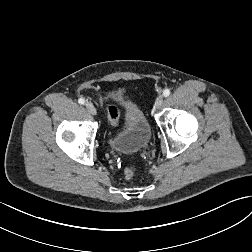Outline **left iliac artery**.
<instances>
[{
  "mask_svg": "<svg viewBox=\"0 0 252 252\" xmlns=\"http://www.w3.org/2000/svg\"><path fill=\"white\" fill-rule=\"evenodd\" d=\"M163 95H164V97H168L170 95V90L169 89H165L163 91Z\"/></svg>",
  "mask_w": 252,
  "mask_h": 252,
  "instance_id": "1",
  "label": "left iliac artery"
}]
</instances>
